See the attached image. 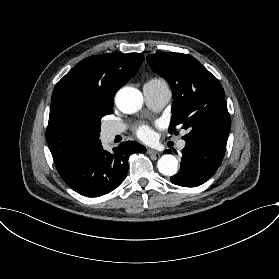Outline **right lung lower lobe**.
Wrapping results in <instances>:
<instances>
[{"label": "right lung lower lobe", "instance_id": "98d812e1", "mask_svg": "<svg viewBox=\"0 0 279 279\" xmlns=\"http://www.w3.org/2000/svg\"><path fill=\"white\" fill-rule=\"evenodd\" d=\"M145 147L135 141L122 142L113 152L103 150L101 143L68 169L58 172L76 192L99 197L118 187L128 172V157L144 153Z\"/></svg>", "mask_w": 279, "mask_h": 279}]
</instances>
